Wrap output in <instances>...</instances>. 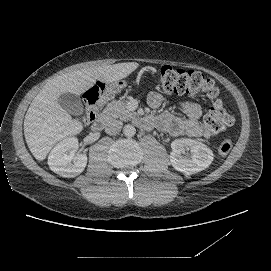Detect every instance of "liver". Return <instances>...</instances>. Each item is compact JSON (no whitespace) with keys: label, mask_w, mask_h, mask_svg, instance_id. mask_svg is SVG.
Here are the masks:
<instances>
[{"label":"liver","mask_w":271,"mask_h":271,"mask_svg":"<svg viewBox=\"0 0 271 271\" xmlns=\"http://www.w3.org/2000/svg\"><path fill=\"white\" fill-rule=\"evenodd\" d=\"M137 66L135 62H125L88 67L50 79L33 98L24 118V136L34 158L43 160L56 142L77 134L82 129L58 104L60 94L69 92L80 95L97 79L105 83L119 80L129 75Z\"/></svg>","instance_id":"1"}]
</instances>
